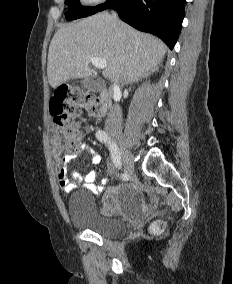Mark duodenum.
<instances>
[{
  "instance_id": "410a0bca",
  "label": "duodenum",
  "mask_w": 233,
  "mask_h": 284,
  "mask_svg": "<svg viewBox=\"0 0 233 284\" xmlns=\"http://www.w3.org/2000/svg\"><path fill=\"white\" fill-rule=\"evenodd\" d=\"M100 99H101L102 104H103V108H102V111H101V112L104 113L105 110H106L105 105H106L107 100H108V93H107V91L103 90V91L101 92V94H100Z\"/></svg>"
}]
</instances>
